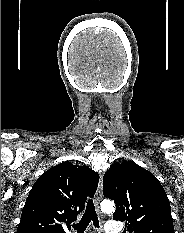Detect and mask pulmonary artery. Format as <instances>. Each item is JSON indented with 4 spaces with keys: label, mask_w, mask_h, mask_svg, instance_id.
Returning <instances> with one entry per match:
<instances>
[{
    "label": "pulmonary artery",
    "mask_w": 184,
    "mask_h": 233,
    "mask_svg": "<svg viewBox=\"0 0 184 233\" xmlns=\"http://www.w3.org/2000/svg\"><path fill=\"white\" fill-rule=\"evenodd\" d=\"M121 228L117 221H107L104 226L105 233H119Z\"/></svg>",
    "instance_id": "1"
}]
</instances>
